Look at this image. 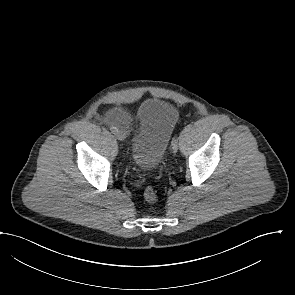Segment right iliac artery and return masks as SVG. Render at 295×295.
I'll use <instances>...</instances> for the list:
<instances>
[{"mask_svg": "<svg viewBox=\"0 0 295 295\" xmlns=\"http://www.w3.org/2000/svg\"><path fill=\"white\" fill-rule=\"evenodd\" d=\"M110 130H111L112 133H115V132L118 131V129L116 127H111Z\"/></svg>", "mask_w": 295, "mask_h": 295, "instance_id": "1", "label": "right iliac artery"}]
</instances>
